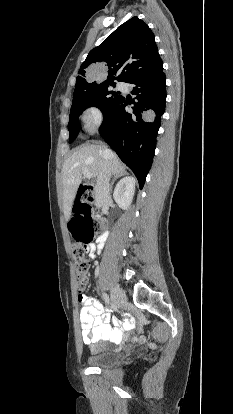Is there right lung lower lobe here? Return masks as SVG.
<instances>
[{
    "label": "right lung lower lobe",
    "instance_id": "right-lung-lower-lobe-1",
    "mask_svg": "<svg viewBox=\"0 0 233 414\" xmlns=\"http://www.w3.org/2000/svg\"><path fill=\"white\" fill-rule=\"evenodd\" d=\"M131 104L121 98L105 113L99 132L120 159L134 172L140 188L145 183L156 147V136L165 110L166 85L163 67L150 75L135 77Z\"/></svg>",
    "mask_w": 233,
    "mask_h": 414
}]
</instances>
